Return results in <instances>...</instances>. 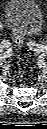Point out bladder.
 Returning a JSON list of instances; mask_svg holds the SVG:
<instances>
[{"label": "bladder", "mask_w": 47, "mask_h": 129, "mask_svg": "<svg viewBox=\"0 0 47 129\" xmlns=\"http://www.w3.org/2000/svg\"><path fill=\"white\" fill-rule=\"evenodd\" d=\"M7 26L21 40L37 35L43 25V16L34 0H9L4 9Z\"/></svg>", "instance_id": "1"}]
</instances>
